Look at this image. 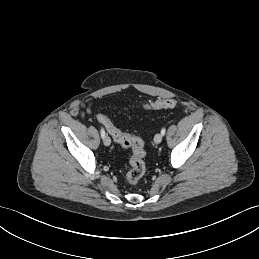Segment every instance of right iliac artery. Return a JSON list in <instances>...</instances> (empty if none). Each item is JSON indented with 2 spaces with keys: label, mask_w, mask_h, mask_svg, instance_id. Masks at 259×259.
Listing matches in <instances>:
<instances>
[{
  "label": "right iliac artery",
  "mask_w": 259,
  "mask_h": 259,
  "mask_svg": "<svg viewBox=\"0 0 259 259\" xmlns=\"http://www.w3.org/2000/svg\"><path fill=\"white\" fill-rule=\"evenodd\" d=\"M100 133H101V137L104 138L105 137V130L103 128H101Z\"/></svg>",
  "instance_id": "obj_1"
}]
</instances>
